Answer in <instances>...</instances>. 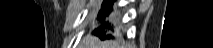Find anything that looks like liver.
Returning <instances> with one entry per match:
<instances>
[{
    "mask_svg": "<svg viewBox=\"0 0 213 48\" xmlns=\"http://www.w3.org/2000/svg\"><path fill=\"white\" fill-rule=\"evenodd\" d=\"M80 46V48H120V45L114 41H101L92 35L84 37Z\"/></svg>",
    "mask_w": 213,
    "mask_h": 48,
    "instance_id": "obj_1",
    "label": "liver"
}]
</instances>
